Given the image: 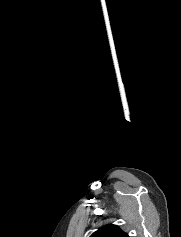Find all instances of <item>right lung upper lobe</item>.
Returning <instances> with one entry per match:
<instances>
[{
	"instance_id": "cb5924a9",
	"label": "right lung upper lobe",
	"mask_w": 181,
	"mask_h": 237,
	"mask_svg": "<svg viewBox=\"0 0 181 237\" xmlns=\"http://www.w3.org/2000/svg\"><path fill=\"white\" fill-rule=\"evenodd\" d=\"M90 237H128L118 226L106 225L94 232Z\"/></svg>"
}]
</instances>
